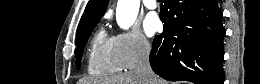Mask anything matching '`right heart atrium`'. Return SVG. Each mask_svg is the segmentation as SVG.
<instances>
[{
  "mask_svg": "<svg viewBox=\"0 0 260 84\" xmlns=\"http://www.w3.org/2000/svg\"><path fill=\"white\" fill-rule=\"evenodd\" d=\"M113 38L116 57L124 69L135 67L150 55L151 45L137 27L120 32Z\"/></svg>",
  "mask_w": 260,
  "mask_h": 84,
  "instance_id": "obj_1",
  "label": "right heart atrium"
}]
</instances>
